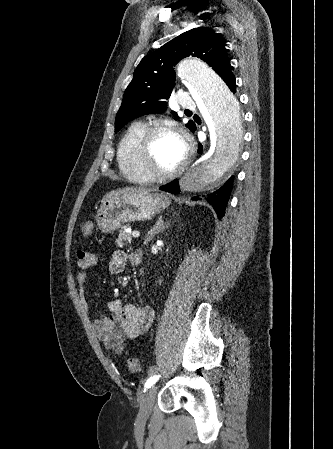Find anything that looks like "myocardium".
<instances>
[{
    "label": "myocardium",
    "mask_w": 333,
    "mask_h": 449,
    "mask_svg": "<svg viewBox=\"0 0 333 449\" xmlns=\"http://www.w3.org/2000/svg\"><path fill=\"white\" fill-rule=\"evenodd\" d=\"M160 132H170L176 134L184 144L185 156L180 164L169 172H159L151 165L152 146L154 138ZM191 149L181 132L172 124L162 121L148 125L138 144V162L142 173L151 181L164 182L176 178L190 163Z\"/></svg>",
    "instance_id": "f54148a6"
}]
</instances>
